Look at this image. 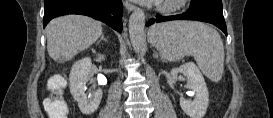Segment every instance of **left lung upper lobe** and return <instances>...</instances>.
Wrapping results in <instances>:
<instances>
[{
	"mask_svg": "<svg viewBox=\"0 0 273 118\" xmlns=\"http://www.w3.org/2000/svg\"><path fill=\"white\" fill-rule=\"evenodd\" d=\"M190 7L208 9L213 12L223 14V7L221 0H191Z\"/></svg>",
	"mask_w": 273,
	"mask_h": 118,
	"instance_id": "obj_1",
	"label": "left lung upper lobe"
}]
</instances>
